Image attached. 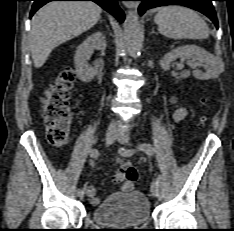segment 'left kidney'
<instances>
[{
	"mask_svg": "<svg viewBox=\"0 0 234 231\" xmlns=\"http://www.w3.org/2000/svg\"><path fill=\"white\" fill-rule=\"evenodd\" d=\"M178 58L189 59L193 64L206 63V71L198 69L193 71V76L199 80H210L217 78L224 71L223 61L196 45L180 46L164 55L160 60V66L163 70H169L171 62Z\"/></svg>",
	"mask_w": 234,
	"mask_h": 231,
	"instance_id": "5707ae66",
	"label": "left kidney"
}]
</instances>
